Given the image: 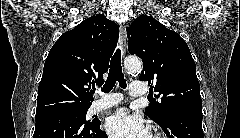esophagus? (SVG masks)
<instances>
[{"label":"esophagus","instance_id":"1","mask_svg":"<svg viewBox=\"0 0 240 138\" xmlns=\"http://www.w3.org/2000/svg\"><path fill=\"white\" fill-rule=\"evenodd\" d=\"M120 46H121L122 57H124L127 50L126 25L124 23L120 25Z\"/></svg>","mask_w":240,"mask_h":138}]
</instances>
